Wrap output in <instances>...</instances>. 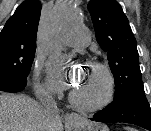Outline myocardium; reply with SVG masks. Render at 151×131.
I'll return each mask as SVG.
<instances>
[{"label":"myocardium","mask_w":151,"mask_h":131,"mask_svg":"<svg viewBox=\"0 0 151 131\" xmlns=\"http://www.w3.org/2000/svg\"><path fill=\"white\" fill-rule=\"evenodd\" d=\"M87 68L95 69L104 77L105 88L101 96L92 101H86L77 97L73 92L69 94L70 102L82 111L94 112L107 107L113 100L115 95V80L109 67L101 62L90 61L87 63Z\"/></svg>","instance_id":"myocardium-1"}]
</instances>
